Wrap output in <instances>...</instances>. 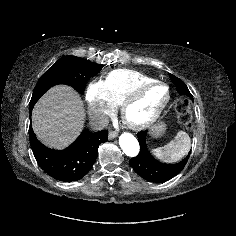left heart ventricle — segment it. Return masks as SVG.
Wrapping results in <instances>:
<instances>
[{
	"instance_id": "left-heart-ventricle-1",
	"label": "left heart ventricle",
	"mask_w": 236,
	"mask_h": 236,
	"mask_svg": "<svg viewBox=\"0 0 236 236\" xmlns=\"http://www.w3.org/2000/svg\"><path fill=\"white\" fill-rule=\"evenodd\" d=\"M166 93V88L162 85L149 89L137 103L130 107L128 117L136 122L146 120L165 99Z\"/></svg>"
}]
</instances>
